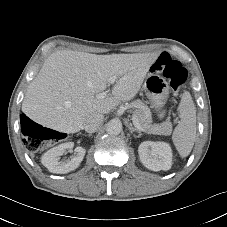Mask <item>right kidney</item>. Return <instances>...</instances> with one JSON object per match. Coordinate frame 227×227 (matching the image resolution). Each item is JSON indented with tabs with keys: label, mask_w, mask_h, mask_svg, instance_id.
Here are the masks:
<instances>
[{
	"label": "right kidney",
	"mask_w": 227,
	"mask_h": 227,
	"mask_svg": "<svg viewBox=\"0 0 227 227\" xmlns=\"http://www.w3.org/2000/svg\"><path fill=\"white\" fill-rule=\"evenodd\" d=\"M73 142L62 143L48 150L41 158V163L52 173L65 174L75 170L82 162L86 150L83 147H76L71 159H62L60 157L67 149H72Z\"/></svg>",
	"instance_id": "1"
}]
</instances>
